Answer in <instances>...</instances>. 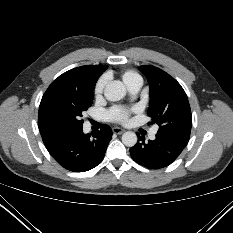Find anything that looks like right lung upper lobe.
Returning a JSON list of instances; mask_svg holds the SVG:
<instances>
[{"mask_svg":"<svg viewBox=\"0 0 233 233\" xmlns=\"http://www.w3.org/2000/svg\"><path fill=\"white\" fill-rule=\"evenodd\" d=\"M108 66L105 65H86L71 69L62 75H60L57 79H55L49 88L46 90L40 107L43 105L44 101L51 96L52 94L68 90V89H81L89 86H95L97 78L107 69ZM40 107H39V115H38V125L40 129V133L43 141L47 140L51 136L57 134L54 131L47 129L40 116Z\"/></svg>","mask_w":233,"mask_h":233,"instance_id":"right-lung-upper-lobe-1","label":"right lung upper lobe"}]
</instances>
